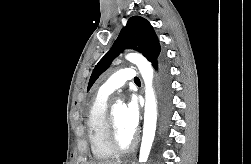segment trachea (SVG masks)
Listing matches in <instances>:
<instances>
[{"label": "trachea", "mask_w": 251, "mask_h": 164, "mask_svg": "<svg viewBox=\"0 0 251 164\" xmlns=\"http://www.w3.org/2000/svg\"><path fill=\"white\" fill-rule=\"evenodd\" d=\"M134 81L137 83V82H140V79H139L138 77H136V78L134 79Z\"/></svg>", "instance_id": "obj_1"}]
</instances>
